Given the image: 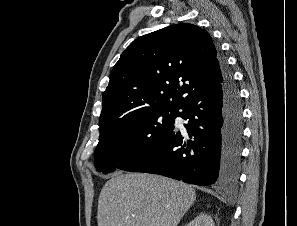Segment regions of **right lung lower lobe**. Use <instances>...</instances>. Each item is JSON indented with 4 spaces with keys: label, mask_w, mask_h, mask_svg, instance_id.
Masks as SVG:
<instances>
[{
    "label": "right lung lower lobe",
    "mask_w": 297,
    "mask_h": 226,
    "mask_svg": "<svg viewBox=\"0 0 297 226\" xmlns=\"http://www.w3.org/2000/svg\"><path fill=\"white\" fill-rule=\"evenodd\" d=\"M222 80L193 94L177 116L189 123L187 135L174 127L122 170L159 174L187 183L226 186L238 181L243 137L240 93L226 61L220 59Z\"/></svg>",
    "instance_id": "obj_1"
}]
</instances>
